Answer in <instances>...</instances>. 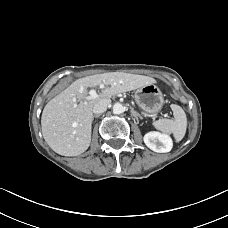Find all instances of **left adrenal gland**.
Returning a JSON list of instances; mask_svg holds the SVG:
<instances>
[{
  "label": "left adrenal gland",
  "mask_w": 228,
  "mask_h": 228,
  "mask_svg": "<svg viewBox=\"0 0 228 228\" xmlns=\"http://www.w3.org/2000/svg\"><path fill=\"white\" fill-rule=\"evenodd\" d=\"M131 112L134 117L136 118L139 117L140 119H143V117L138 112H136L133 108L131 109Z\"/></svg>",
  "instance_id": "obj_1"
}]
</instances>
